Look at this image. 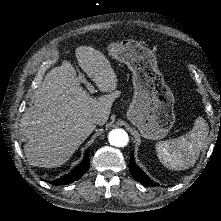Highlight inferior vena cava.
Instances as JSON below:
<instances>
[{"label": "inferior vena cava", "mask_w": 221, "mask_h": 221, "mask_svg": "<svg viewBox=\"0 0 221 221\" xmlns=\"http://www.w3.org/2000/svg\"><path fill=\"white\" fill-rule=\"evenodd\" d=\"M88 120L92 125H95L99 120V115L98 114H92V115L89 116Z\"/></svg>", "instance_id": "602c4592"}]
</instances>
